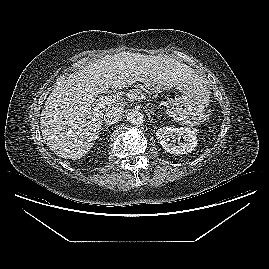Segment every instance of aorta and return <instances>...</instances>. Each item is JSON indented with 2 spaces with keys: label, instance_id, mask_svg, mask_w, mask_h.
Instances as JSON below:
<instances>
[{
  "label": "aorta",
  "instance_id": "1",
  "mask_svg": "<svg viewBox=\"0 0 269 269\" xmlns=\"http://www.w3.org/2000/svg\"><path fill=\"white\" fill-rule=\"evenodd\" d=\"M127 120L133 125H140L144 122V115L138 110H131L127 114Z\"/></svg>",
  "mask_w": 269,
  "mask_h": 269
}]
</instances>
